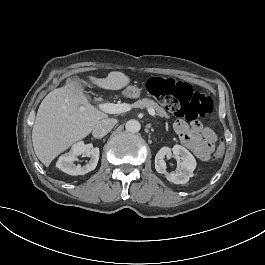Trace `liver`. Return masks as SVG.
Segmentation results:
<instances>
[{"instance_id": "liver-1", "label": "liver", "mask_w": 265, "mask_h": 265, "mask_svg": "<svg viewBox=\"0 0 265 265\" xmlns=\"http://www.w3.org/2000/svg\"><path fill=\"white\" fill-rule=\"evenodd\" d=\"M84 82L70 80L48 93L39 105L32 130L34 152L49 168L60 154L90 135L95 125L109 115L87 103L83 86L120 91L132 79L123 72H109L106 78L86 75Z\"/></svg>"}]
</instances>
